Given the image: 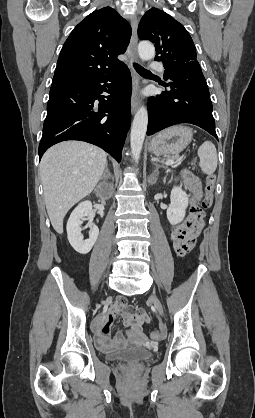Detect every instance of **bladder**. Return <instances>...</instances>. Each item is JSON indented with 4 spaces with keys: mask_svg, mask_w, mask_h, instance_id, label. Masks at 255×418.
Wrapping results in <instances>:
<instances>
[{
    "mask_svg": "<svg viewBox=\"0 0 255 418\" xmlns=\"http://www.w3.org/2000/svg\"><path fill=\"white\" fill-rule=\"evenodd\" d=\"M154 353L140 347H132L121 351L113 352L107 355V358L111 361L118 360H135L145 361L152 359Z\"/></svg>",
    "mask_w": 255,
    "mask_h": 418,
    "instance_id": "bladder-1",
    "label": "bladder"
}]
</instances>
